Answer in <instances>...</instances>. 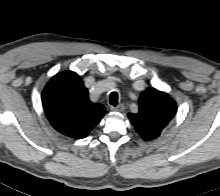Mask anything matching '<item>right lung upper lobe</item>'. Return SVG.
<instances>
[{"instance_id": "cb5924a9", "label": "right lung upper lobe", "mask_w": 220, "mask_h": 196, "mask_svg": "<svg viewBox=\"0 0 220 196\" xmlns=\"http://www.w3.org/2000/svg\"><path fill=\"white\" fill-rule=\"evenodd\" d=\"M42 104L51 125L74 139L85 138L106 113L93 104L81 78L72 71L56 74L42 93Z\"/></svg>"}]
</instances>
